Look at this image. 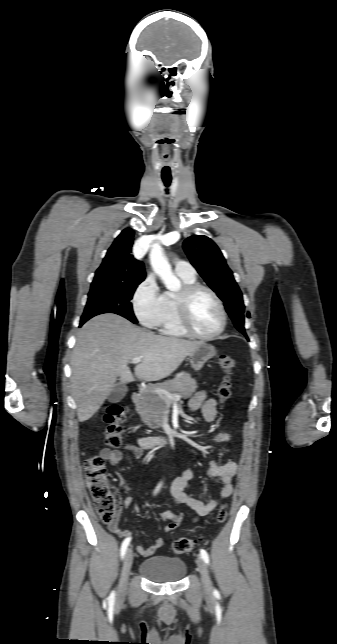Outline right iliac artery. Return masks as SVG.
Returning a JSON list of instances; mask_svg holds the SVG:
<instances>
[{"instance_id":"right-iliac-artery-1","label":"right iliac artery","mask_w":337,"mask_h":644,"mask_svg":"<svg viewBox=\"0 0 337 644\" xmlns=\"http://www.w3.org/2000/svg\"><path fill=\"white\" fill-rule=\"evenodd\" d=\"M160 486H161V484H159V485L157 486V488H156V490H155V493H157V492H158V490H159ZM130 541H131V538H126V539L122 542V545H121V557H122V558H124V556H125V553H126V551H127V547H128V545H129ZM109 599H110V600H114V599H115V593H114V592H112V593H111V595L109 596Z\"/></svg>"}]
</instances>
